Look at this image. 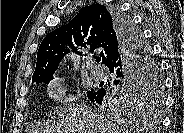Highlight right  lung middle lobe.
<instances>
[{
	"label": "right lung middle lobe",
	"mask_w": 184,
	"mask_h": 133,
	"mask_svg": "<svg viewBox=\"0 0 184 133\" xmlns=\"http://www.w3.org/2000/svg\"><path fill=\"white\" fill-rule=\"evenodd\" d=\"M130 22L133 35L145 48L143 57L145 60L142 80L130 86L128 92L121 97L113 98L111 106L115 112H128L142 109L150 104L161 105L162 98L160 97L163 90V82L160 74V66L151 54L150 48L144 42L141 32L136 28L133 22L127 17ZM52 77H46L36 83H49ZM35 83V82H33ZM88 91L87 93H92Z\"/></svg>",
	"instance_id": "1"
}]
</instances>
